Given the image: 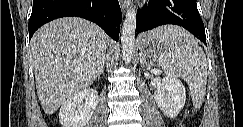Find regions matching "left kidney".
Wrapping results in <instances>:
<instances>
[{
    "instance_id": "5707ae66",
    "label": "left kidney",
    "mask_w": 243,
    "mask_h": 127,
    "mask_svg": "<svg viewBox=\"0 0 243 127\" xmlns=\"http://www.w3.org/2000/svg\"><path fill=\"white\" fill-rule=\"evenodd\" d=\"M154 100L165 116L175 118L185 105L186 89L179 79L164 77Z\"/></svg>"
}]
</instances>
